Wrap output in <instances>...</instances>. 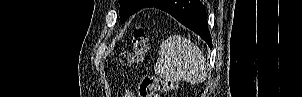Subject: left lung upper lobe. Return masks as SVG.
I'll list each match as a JSON object with an SVG mask.
<instances>
[{"label": "left lung upper lobe", "instance_id": "1", "mask_svg": "<svg viewBox=\"0 0 302 97\" xmlns=\"http://www.w3.org/2000/svg\"><path fill=\"white\" fill-rule=\"evenodd\" d=\"M154 0H121L120 21L124 23L131 15L148 7Z\"/></svg>", "mask_w": 302, "mask_h": 97}]
</instances>
